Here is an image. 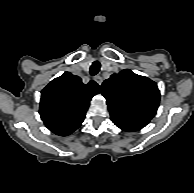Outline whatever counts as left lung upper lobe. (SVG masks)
I'll return each mask as SVG.
<instances>
[{
    "instance_id": "1",
    "label": "left lung upper lobe",
    "mask_w": 194,
    "mask_h": 193,
    "mask_svg": "<svg viewBox=\"0 0 194 193\" xmlns=\"http://www.w3.org/2000/svg\"><path fill=\"white\" fill-rule=\"evenodd\" d=\"M111 119L139 127L146 126L159 106L160 92L155 82L129 69L113 74L101 87Z\"/></svg>"
}]
</instances>
